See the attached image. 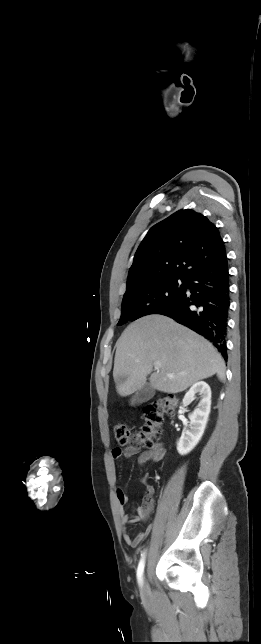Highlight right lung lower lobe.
Masks as SVG:
<instances>
[{"mask_svg": "<svg viewBox=\"0 0 261 644\" xmlns=\"http://www.w3.org/2000/svg\"><path fill=\"white\" fill-rule=\"evenodd\" d=\"M229 267L225 257L202 267L184 279L183 295L172 305L158 311L211 341L226 356L229 296ZM186 288L191 294L186 293Z\"/></svg>", "mask_w": 261, "mask_h": 644, "instance_id": "right-lung-lower-lobe-1", "label": "right lung lower lobe"}]
</instances>
